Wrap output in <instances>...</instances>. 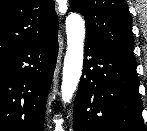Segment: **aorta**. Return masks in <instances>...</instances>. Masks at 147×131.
Returning a JSON list of instances; mask_svg holds the SVG:
<instances>
[{
	"instance_id": "obj_1",
	"label": "aorta",
	"mask_w": 147,
	"mask_h": 131,
	"mask_svg": "<svg viewBox=\"0 0 147 131\" xmlns=\"http://www.w3.org/2000/svg\"><path fill=\"white\" fill-rule=\"evenodd\" d=\"M67 51L64 58L61 95L64 103L70 102L77 88L83 67L85 23L78 14L66 18Z\"/></svg>"
}]
</instances>
